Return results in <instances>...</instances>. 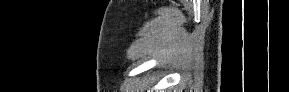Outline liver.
<instances>
[{
  "mask_svg": "<svg viewBox=\"0 0 289 92\" xmlns=\"http://www.w3.org/2000/svg\"><path fill=\"white\" fill-rule=\"evenodd\" d=\"M144 89H146V87L142 88L139 86V88L137 90H144Z\"/></svg>",
  "mask_w": 289,
  "mask_h": 92,
  "instance_id": "liver-1",
  "label": "liver"
}]
</instances>
